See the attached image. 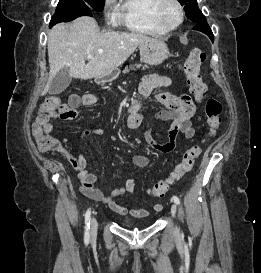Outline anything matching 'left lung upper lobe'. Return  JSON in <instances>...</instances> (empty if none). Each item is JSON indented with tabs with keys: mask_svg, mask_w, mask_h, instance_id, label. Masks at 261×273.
<instances>
[{
	"mask_svg": "<svg viewBox=\"0 0 261 273\" xmlns=\"http://www.w3.org/2000/svg\"><path fill=\"white\" fill-rule=\"evenodd\" d=\"M181 5H184V10L186 12V16L190 19L194 24L205 21V16L199 10L197 5V0H178Z\"/></svg>",
	"mask_w": 261,
	"mask_h": 273,
	"instance_id": "obj_1",
	"label": "left lung upper lobe"
}]
</instances>
